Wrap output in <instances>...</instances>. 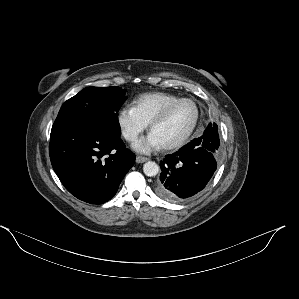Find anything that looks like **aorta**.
I'll list each match as a JSON object with an SVG mask.
<instances>
[{"mask_svg": "<svg viewBox=\"0 0 299 299\" xmlns=\"http://www.w3.org/2000/svg\"><path fill=\"white\" fill-rule=\"evenodd\" d=\"M143 172L146 176H156L159 172V166L153 161H148L143 166Z\"/></svg>", "mask_w": 299, "mask_h": 299, "instance_id": "obj_1", "label": "aorta"}]
</instances>
